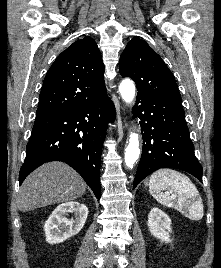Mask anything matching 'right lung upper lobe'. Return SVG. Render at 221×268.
<instances>
[{"mask_svg": "<svg viewBox=\"0 0 221 268\" xmlns=\"http://www.w3.org/2000/svg\"><path fill=\"white\" fill-rule=\"evenodd\" d=\"M104 64L96 42L75 41L48 70L36 115L57 113L95 102L106 95Z\"/></svg>", "mask_w": 221, "mask_h": 268, "instance_id": "cb5924a9", "label": "right lung upper lobe"}]
</instances>
